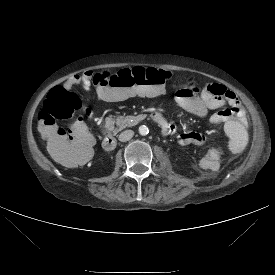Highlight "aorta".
<instances>
[{
    "mask_svg": "<svg viewBox=\"0 0 275 275\" xmlns=\"http://www.w3.org/2000/svg\"><path fill=\"white\" fill-rule=\"evenodd\" d=\"M148 133H149V129H148L147 126L141 125V126L139 127V134H140V135L145 136V135H147Z\"/></svg>",
    "mask_w": 275,
    "mask_h": 275,
    "instance_id": "762f6f07",
    "label": "aorta"
}]
</instances>
